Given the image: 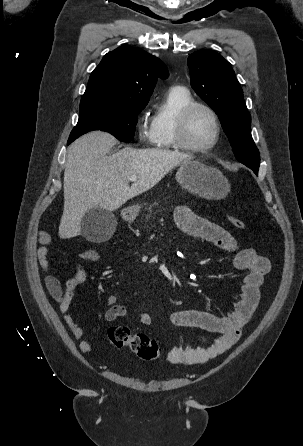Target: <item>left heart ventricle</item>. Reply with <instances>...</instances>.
<instances>
[{
	"label": "left heart ventricle",
	"mask_w": 303,
	"mask_h": 446,
	"mask_svg": "<svg viewBox=\"0 0 303 446\" xmlns=\"http://www.w3.org/2000/svg\"><path fill=\"white\" fill-rule=\"evenodd\" d=\"M214 124L210 115L203 109H196L189 117L187 140L194 146H205L214 138Z\"/></svg>",
	"instance_id": "1"
}]
</instances>
